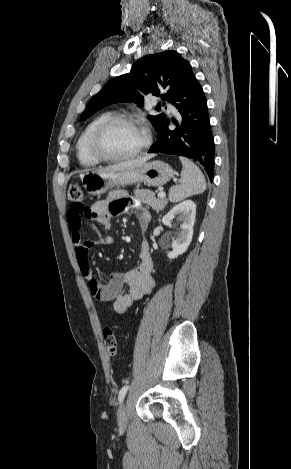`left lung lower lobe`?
I'll return each mask as SVG.
<instances>
[{"instance_id": "obj_1", "label": "left lung lower lobe", "mask_w": 291, "mask_h": 469, "mask_svg": "<svg viewBox=\"0 0 291 469\" xmlns=\"http://www.w3.org/2000/svg\"><path fill=\"white\" fill-rule=\"evenodd\" d=\"M169 102L178 110L180 120L176 129L169 130L167 119L160 126L156 143L149 153H167L184 156L200 164L210 181L214 177L215 145L211 131L206 98L192 69Z\"/></svg>"}]
</instances>
